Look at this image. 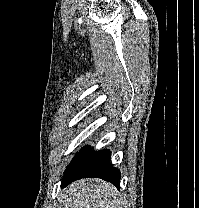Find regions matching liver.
<instances>
[{"instance_id": "liver-1", "label": "liver", "mask_w": 199, "mask_h": 208, "mask_svg": "<svg viewBox=\"0 0 199 208\" xmlns=\"http://www.w3.org/2000/svg\"><path fill=\"white\" fill-rule=\"evenodd\" d=\"M116 188L100 179H82L63 193L65 208H118Z\"/></svg>"}]
</instances>
